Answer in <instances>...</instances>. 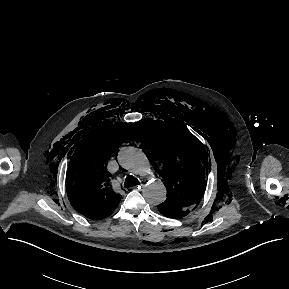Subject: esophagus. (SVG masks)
<instances>
[{"label":"esophagus","instance_id":"34e87169","mask_svg":"<svg viewBox=\"0 0 289 289\" xmlns=\"http://www.w3.org/2000/svg\"><path fill=\"white\" fill-rule=\"evenodd\" d=\"M142 186H143V185L141 184V185H139V186H136V188H137V189H141Z\"/></svg>","mask_w":289,"mask_h":289}]
</instances>
